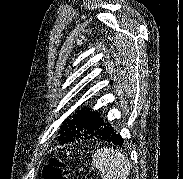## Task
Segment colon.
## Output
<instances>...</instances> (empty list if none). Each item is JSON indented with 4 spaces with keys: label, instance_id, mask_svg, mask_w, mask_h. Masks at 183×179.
<instances>
[{
    "label": "colon",
    "instance_id": "colon-1",
    "mask_svg": "<svg viewBox=\"0 0 183 179\" xmlns=\"http://www.w3.org/2000/svg\"><path fill=\"white\" fill-rule=\"evenodd\" d=\"M44 179H73L69 177L64 169L63 163L57 158L50 160L49 164L43 170Z\"/></svg>",
    "mask_w": 183,
    "mask_h": 179
}]
</instances>
